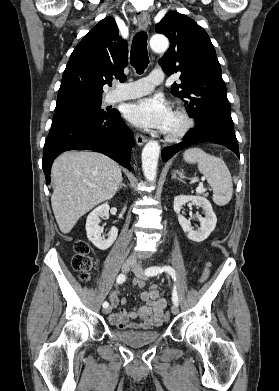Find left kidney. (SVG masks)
I'll list each match as a JSON object with an SVG mask.
<instances>
[{"label": "left kidney", "mask_w": 279, "mask_h": 391, "mask_svg": "<svg viewBox=\"0 0 279 391\" xmlns=\"http://www.w3.org/2000/svg\"><path fill=\"white\" fill-rule=\"evenodd\" d=\"M190 201L203 208L205 211V217L196 215L201 224L197 230H194L191 226V222L180 214L182 205ZM173 207L174 211L178 214L179 224L188 238L192 241H204L216 227L217 217L212 209L211 203L204 197L179 195L174 198Z\"/></svg>", "instance_id": "1"}]
</instances>
